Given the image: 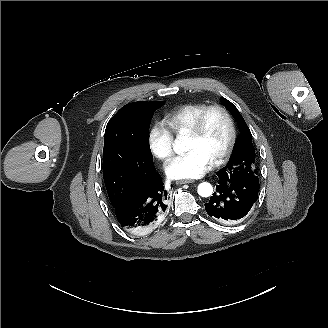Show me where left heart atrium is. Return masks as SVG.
<instances>
[{
  "mask_svg": "<svg viewBox=\"0 0 328 328\" xmlns=\"http://www.w3.org/2000/svg\"><path fill=\"white\" fill-rule=\"evenodd\" d=\"M212 167V161L199 150H190L168 160L164 169L174 179H197L205 175Z\"/></svg>",
  "mask_w": 328,
  "mask_h": 328,
  "instance_id": "1",
  "label": "left heart atrium"
}]
</instances>
